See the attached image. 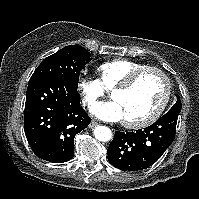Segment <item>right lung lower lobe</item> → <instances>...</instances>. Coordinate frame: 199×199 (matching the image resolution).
I'll return each instance as SVG.
<instances>
[{"label": "right lung lower lobe", "instance_id": "1", "mask_svg": "<svg viewBox=\"0 0 199 199\" xmlns=\"http://www.w3.org/2000/svg\"><path fill=\"white\" fill-rule=\"evenodd\" d=\"M91 121L80 106L77 88L58 76L30 78L25 102L24 130L39 158L53 163L70 160L74 138Z\"/></svg>", "mask_w": 199, "mask_h": 199}]
</instances>
